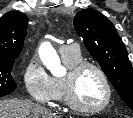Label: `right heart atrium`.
Wrapping results in <instances>:
<instances>
[{
    "label": "right heart atrium",
    "instance_id": "obj_1",
    "mask_svg": "<svg viewBox=\"0 0 133 118\" xmlns=\"http://www.w3.org/2000/svg\"><path fill=\"white\" fill-rule=\"evenodd\" d=\"M23 81L30 97L39 103L48 104L54 99L53 78L37 58H31L25 65Z\"/></svg>",
    "mask_w": 133,
    "mask_h": 118
}]
</instances>
